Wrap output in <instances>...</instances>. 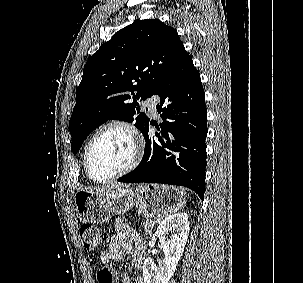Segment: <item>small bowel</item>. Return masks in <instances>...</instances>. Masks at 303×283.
I'll return each mask as SVG.
<instances>
[{"mask_svg": "<svg viewBox=\"0 0 303 283\" xmlns=\"http://www.w3.org/2000/svg\"><path fill=\"white\" fill-rule=\"evenodd\" d=\"M115 229L116 232L110 239L108 250L102 251L99 255L100 262L107 265L111 260H121L125 252L133 250L131 266L138 267L145 257L144 239L121 219L115 221ZM134 282L144 283L142 278H136ZM121 283H131L129 276L123 275Z\"/></svg>", "mask_w": 303, "mask_h": 283, "instance_id": "c3829d8e", "label": "small bowel"}]
</instances>
